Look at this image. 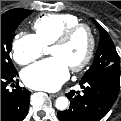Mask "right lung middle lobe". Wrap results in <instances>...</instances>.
<instances>
[{
  "label": "right lung middle lobe",
  "mask_w": 121,
  "mask_h": 121,
  "mask_svg": "<svg viewBox=\"0 0 121 121\" xmlns=\"http://www.w3.org/2000/svg\"><path fill=\"white\" fill-rule=\"evenodd\" d=\"M31 13V10L12 9L1 15V72L16 71L9 55L11 43L18 25Z\"/></svg>",
  "instance_id": "right-lung-middle-lobe-1"
}]
</instances>
